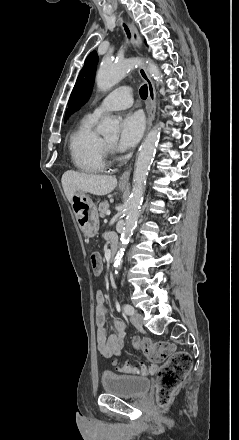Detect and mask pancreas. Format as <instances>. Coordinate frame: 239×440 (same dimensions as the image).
Segmentation results:
<instances>
[{
    "instance_id": "1",
    "label": "pancreas",
    "mask_w": 239,
    "mask_h": 440,
    "mask_svg": "<svg viewBox=\"0 0 239 440\" xmlns=\"http://www.w3.org/2000/svg\"><path fill=\"white\" fill-rule=\"evenodd\" d=\"M108 208H109L108 202H101V204H99L98 212H99L100 218H105V214H106Z\"/></svg>"
}]
</instances>
